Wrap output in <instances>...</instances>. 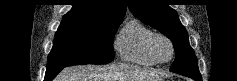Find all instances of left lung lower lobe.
Returning a JSON list of instances; mask_svg holds the SVG:
<instances>
[{
    "instance_id": "0a47b994",
    "label": "left lung lower lobe",
    "mask_w": 237,
    "mask_h": 81,
    "mask_svg": "<svg viewBox=\"0 0 237 81\" xmlns=\"http://www.w3.org/2000/svg\"><path fill=\"white\" fill-rule=\"evenodd\" d=\"M187 77H190L196 81H202V77H195V76H187Z\"/></svg>"
}]
</instances>
